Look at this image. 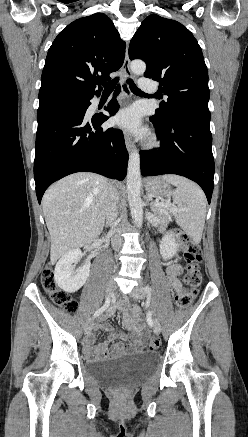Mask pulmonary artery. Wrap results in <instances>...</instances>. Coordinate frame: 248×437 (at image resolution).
I'll list each match as a JSON object with an SVG mask.
<instances>
[{
	"instance_id": "pulmonary-artery-1",
	"label": "pulmonary artery",
	"mask_w": 248,
	"mask_h": 437,
	"mask_svg": "<svg viewBox=\"0 0 248 437\" xmlns=\"http://www.w3.org/2000/svg\"><path fill=\"white\" fill-rule=\"evenodd\" d=\"M139 87L144 92H154L156 90L154 81L146 77L139 79Z\"/></svg>"
}]
</instances>
